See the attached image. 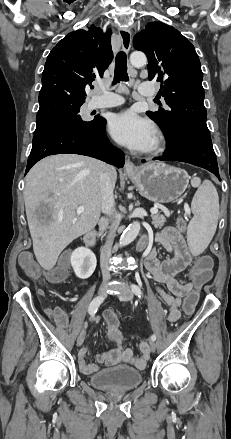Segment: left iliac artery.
<instances>
[{
  "instance_id": "obj_1",
  "label": "left iliac artery",
  "mask_w": 231,
  "mask_h": 439,
  "mask_svg": "<svg viewBox=\"0 0 231 439\" xmlns=\"http://www.w3.org/2000/svg\"><path fill=\"white\" fill-rule=\"evenodd\" d=\"M131 289H132L133 293H134L136 296L141 297V295H142V291H141V289H140L139 286H137L136 284H132V285H131ZM151 340H152V341H155V340H156V335L153 334V335L151 336Z\"/></svg>"
}]
</instances>
